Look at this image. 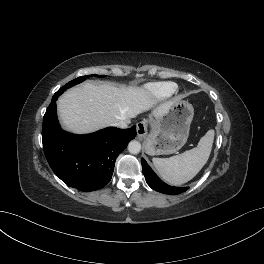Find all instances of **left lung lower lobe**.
<instances>
[{
	"mask_svg": "<svg viewBox=\"0 0 264 264\" xmlns=\"http://www.w3.org/2000/svg\"><path fill=\"white\" fill-rule=\"evenodd\" d=\"M141 164L146 182L152 189L169 195H176L188 189L187 187L178 188L167 185L154 173V171L148 166L147 162L143 158L141 159Z\"/></svg>",
	"mask_w": 264,
	"mask_h": 264,
	"instance_id": "0a47b994",
	"label": "left lung lower lobe"
}]
</instances>
